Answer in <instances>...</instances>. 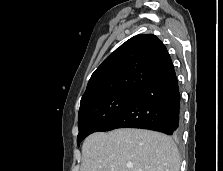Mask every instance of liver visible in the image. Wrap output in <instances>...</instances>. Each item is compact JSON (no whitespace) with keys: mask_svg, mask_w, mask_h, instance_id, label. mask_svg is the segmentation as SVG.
<instances>
[{"mask_svg":"<svg viewBox=\"0 0 223 171\" xmlns=\"http://www.w3.org/2000/svg\"><path fill=\"white\" fill-rule=\"evenodd\" d=\"M180 163L173 140L150 130L96 132L82 145L81 171H179Z\"/></svg>","mask_w":223,"mask_h":171,"instance_id":"liver-1","label":"liver"}]
</instances>
